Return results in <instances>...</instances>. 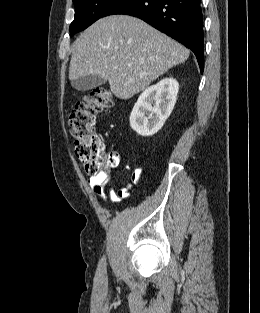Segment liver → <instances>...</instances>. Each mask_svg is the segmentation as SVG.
Returning <instances> with one entry per match:
<instances>
[{
  "label": "liver",
  "instance_id": "6515ba94",
  "mask_svg": "<svg viewBox=\"0 0 260 313\" xmlns=\"http://www.w3.org/2000/svg\"><path fill=\"white\" fill-rule=\"evenodd\" d=\"M189 54L183 45L144 21L112 15L93 23L76 40L69 79L100 76L116 97L126 100L185 62Z\"/></svg>",
  "mask_w": 260,
  "mask_h": 313
}]
</instances>
